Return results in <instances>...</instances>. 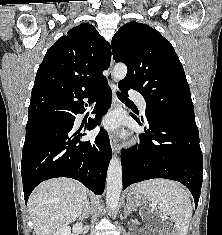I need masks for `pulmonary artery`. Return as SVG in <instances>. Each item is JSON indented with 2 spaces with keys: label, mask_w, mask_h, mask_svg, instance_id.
Here are the masks:
<instances>
[{
  "label": "pulmonary artery",
  "mask_w": 222,
  "mask_h": 235,
  "mask_svg": "<svg viewBox=\"0 0 222 235\" xmlns=\"http://www.w3.org/2000/svg\"><path fill=\"white\" fill-rule=\"evenodd\" d=\"M130 96L139 104L141 110L144 112L146 109V101L144 97L137 91H130Z\"/></svg>",
  "instance_id": "pulmonary-artery-1"
}]
</instances>
